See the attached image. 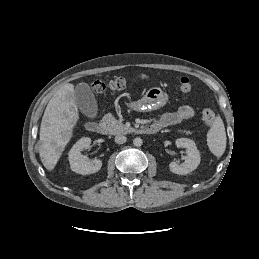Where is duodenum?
Returning <instances> with one entry per match:
<instances>
[{"mask_svg": "<svg viewBox=\"0 0 259 259\" xmlns=\"http://www.w3.org/2000/svg\"><path fill=\"white\" fill-rule=\"evenodd\" d=\"M86 129L90 133L94 134H104L105 127L102 123L96 121H89L86 123ZM160 130L159 126L156 124H150L148 126L143 127L140 131L144 134H155Z\"/></svg>", "mask_w": 259, "mask_h": 259, "instance_id": "410a0bca", "label": "duodenum"}]
</instances>
